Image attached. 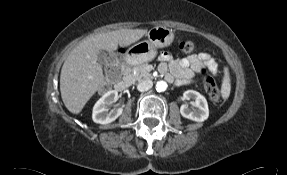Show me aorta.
Returning <instances> with one entry per match:
<instances>
[{
  "label": "aorta",
  "mask_w": 287,
  "mask_h": 175,
  "mask_svg": "<svg viewBox=\"0 0 287 175\" xmlns=\"http://www.w3.org/2000/svg\"><path fill=\"white\" fill-rule=\"evenodd\" d=\"M167 83L165 81H158L156 84V90L158 92H164L167 89Z\"/></svg>",
  "instance_id": "obj_1"
}]
</instances>
